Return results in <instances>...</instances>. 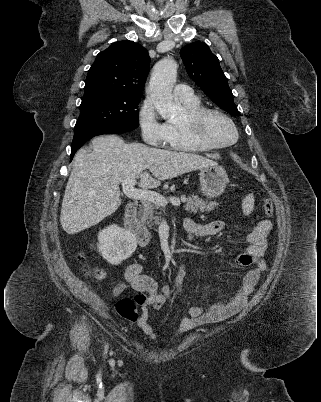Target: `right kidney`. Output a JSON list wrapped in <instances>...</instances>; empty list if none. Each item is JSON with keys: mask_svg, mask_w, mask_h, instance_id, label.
<instances>
[{"mask_svg": "<svg viewBox=\"0 0 321 402\" xmlns=\"http://www.w3.org/2000/svg\"><path fill=\"white\" fill-rule=\"evenodd\" d=\"M98 241L99 252L111 265H119L137 248L135 236L115 224L100 231Z\"/></svg>", "mask_w": 321, "mask_h": 402, "instance_id": "obj_1", "label": "right kidney"}]
</instances>
